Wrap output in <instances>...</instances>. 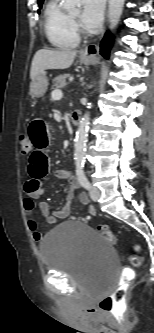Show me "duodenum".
<instances>
[{"mask_svg": "<svg viewBox=\"0 0 154 333\" xmlns=\"http://www.w3.org/2000/svg\"><path fill=\"white\" fill-rule=\"evenodd\" d=\"M82 112L80 110H73L71 112L70 121L73 125L77 126L80 123Z\"/></svg>", "mask_w": 154, "mask_h": 333, "instance_id": "duodenum-1", "label": "duodenum"}]
</instances>
